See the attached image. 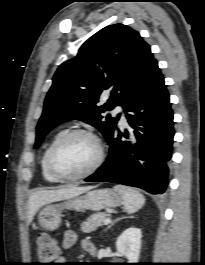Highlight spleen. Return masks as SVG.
I'll return each mask as SVG.
<instances>
[{
  "label": "spleen",
  "instance_id": "1",
  "mask_svg": "<svg viewBox=\"0 0 205 265\" xmlns=\"http://www.w3.org/2000/svg\"><path fill=\"white\" fill-rule=\"evenodd\" d=\"M114 190L121 195L124 208L129 214L138 211L145 203V197L134 188L115 185Z\"/></svg>",
  "mask_w": 205,
  "mask_h": 265
}]
</instances>
